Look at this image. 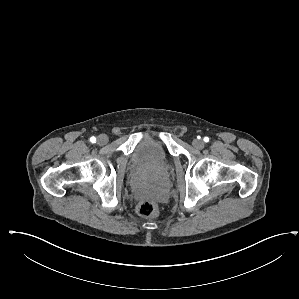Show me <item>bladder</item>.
<instances>
[{
  "instance_id": "bladder-1",
  "label": "bladder",
  "mask_w": 299,
  "mask_h": 299,
  "mask_svg": "<svg viewBox=\"0 0 299 299\" xmlns=\"http://www.w3.org/2000/svg\"><path fill=\"white\" fill-rule=\"evenodd\" d=\"M131 160L137 168L162 167L168 162V154L157 140L144 139L134 149Z\"/></svg>"
}]
</instances>
